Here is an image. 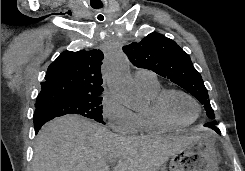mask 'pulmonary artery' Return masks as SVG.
I'll return each mask as SVG.
<instances>
[{
	"label": "pulmonary artery",
	"mask_w": 245,
	"mask_h": 171,
	"mask_svg": "<svg viewBox=\"0 0 245 171\" xmlns=\"http://www.w3.org/2000/svg\"><path fill=\"white\" fill-rule=\"evenodd\" d=\"M134 81L138 86L150 85L157 82L156 74L150 70L137 69L134 72Z\"/></svg>",
	"instance_id": "1"
}]
</instances>
